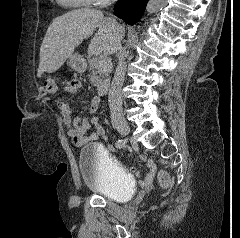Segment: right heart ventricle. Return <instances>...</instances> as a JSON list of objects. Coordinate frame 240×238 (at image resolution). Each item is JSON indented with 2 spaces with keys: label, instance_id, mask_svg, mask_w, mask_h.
Wrapping results in <instances>:
<instances>
[{
  "label": "right heart ventricle",
  "instance_id": "e07e8e85",
  "mask_svg": "<svg viewBox=\"0 0 240 238\" xmlns=\"http://www.w3.org/2000/svg\"><path fill=\"white\" fill-rule=\"evenodd\" d=\"M56 2L59 5L69 9L81 8L89 4L85 0H56Z\"/></svg>",
  "mask_w": 240,
  "mask_h": 238
}]
</instances>
